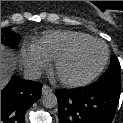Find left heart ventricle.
Instances as JSON below:
<instances>
[{"mask_svg": "<svg viewBox=\"0 0 123 123\" xmlns=\"http://www.w3.org/2000/svg\"><path fill=\"white\" fill-rule=\"evenodd\" d=\"M104 58V47L99 43H90L81 48L61 67V74L72 79H81L92 74Z\"/></svg>", "mask_w": 123, "mask_h": 123, "instance_id": "left-heart-ventricle-1", "label": "left heart ventricle"}]
</instances>
